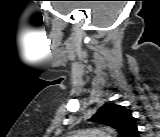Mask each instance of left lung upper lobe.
Here are the masks:
<instances>
[{"instance_id": "obj_1", "label": "left lung upper lobe", "mask_w": 160, "mask_h": 137, "mask_svg": "<svg viewBox=\"0 0 160 137\" xmlns=\"http://www.w3.org/2000/svg\"><path fill=\"white\" fill-rule=\"evenodd\" d=\"M90 120L115 128L121 137H128L137 128L131 112L112 103L102 106Z\"/></svg>"}]
</instances>
